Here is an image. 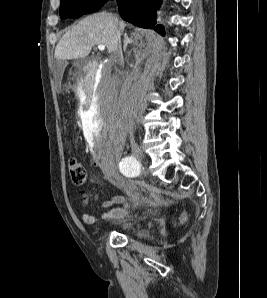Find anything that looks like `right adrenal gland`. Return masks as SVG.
I'll return each mask as SVG.
<instances>
[{"mask_svg":"<svg viewBox=\"0 0 267 298\" xmlns=\"http://www.w3.org/2000/svg\"><path fill=\"white\" fill-rule=\"evenodd\" d=\"M132 42H133V40L128 37L127 33H125L124 34V45H123L124 52L126 51L127 45Z\"/></svg>","mask_w":267,"mask_h":298,"instance_id":"right-adrenal-gland-1","label":"right adrenal gland"}]
</instances>
